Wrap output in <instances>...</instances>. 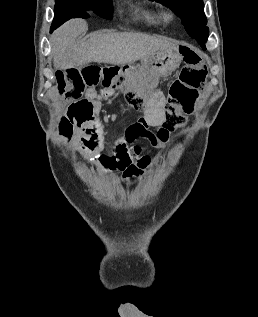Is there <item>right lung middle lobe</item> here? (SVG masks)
<instances>
[{"mask_svg":"<svg viewBox=\"0 0 258 317\" xmlns=\"http://www.w3.org/2000/svg\"><path fill=\"white\" fill-rule=\"evenodd\" d=\"M56 5L62 3H75L83 6L88 10H97L99 16L112 19L113 9L111 0H55Z\"/></svg>","mask_w":258,"mask_h":317,"instance_id":"1","label":"right lung middle lobe"}]
</instances>
